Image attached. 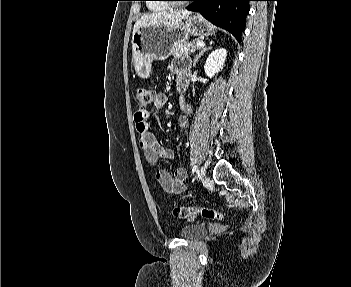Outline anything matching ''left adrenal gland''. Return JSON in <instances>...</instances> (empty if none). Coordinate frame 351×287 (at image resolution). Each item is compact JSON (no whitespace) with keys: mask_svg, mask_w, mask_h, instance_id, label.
Listing matches in <instances>:
<instances>
[{"mask_svg":"<svg viewBox=\"0 0 351 287\" xmlns=\"http://www.w3.org/2000/svg\"><path fill=\"white\" fill-rule=\"evenodd\" d=\"M211 45H212V42H210L209 47L205 46L202 49H200L199 53L195 56V59L193 61V67L196 66V63L198 62L199 58L204 54V52L211 49Z\"/></svg>","mask_w":351,"mask_h":287,"instance_id":"a2214340","label":"left adrenal gland"}]
</instances>
